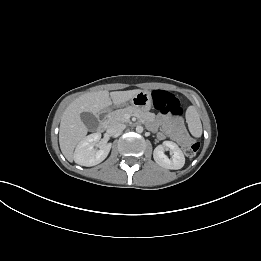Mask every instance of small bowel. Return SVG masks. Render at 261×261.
I'll return each mask as SVG.
<instances>
[{
  "label": "small bowel",
  "instance_id": "1",
  "mask_svg": "<svg viewBox=\"0 0 261 261\" xmlns=\"http://www.w3.org/2000/svg\"><path fill=\"white\" fill-rule=\"evenodd\" d=\"M158 123L162 125L158 135L160 139L169 137L181 146H185L191 142V137L182 121L162 117L158 119Z\"/></svg>",
  "mask_w": 261,
  "mask_h": 261
}]
</instances>
